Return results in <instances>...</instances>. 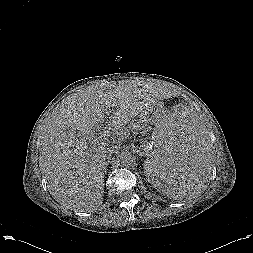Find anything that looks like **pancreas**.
Wrapping results in <instances>:
<instances>
[{
	"instance_id": "1",
	"label": "pancreas",
	"mask_w": 253,
	"mask_h": 253,
	"mask_svg": "<svg viewBox=\"0 0 253 253\" xmlns=\"http://www.w3.org/2000/svg\"><path fill=\"white\" fill-rule=\"evenodd\" d=\"M129 128L131 129V131L134 134H140L141 135L140 140L145 146L144 150L146 151L147 155L151 154L152 151L149 149V146H148L147 140H146L147 139L146 135H147V132L150 129V126L147 123H144L143 121L138 120V121L132 122L130 124Z\"/></svg>"
}]
</instances>
